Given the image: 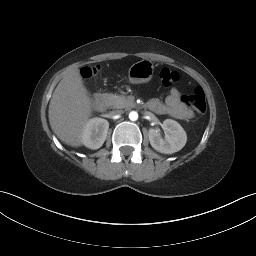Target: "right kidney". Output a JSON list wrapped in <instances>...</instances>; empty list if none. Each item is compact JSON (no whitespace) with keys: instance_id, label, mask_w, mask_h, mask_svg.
Here are the masks:
<instances>
[{"instance_id":"obj_1","label":"right kidney","mask_w":256,"mask_h":256,"mask_svg":"<svg viewBox=\"0 0 256 256\" xmlns=\"http://www.w3.org/2000/svg\"><path fill=\"white\" fill-rule=\"evenodd\" d=\"M109 122L103 118H92L87 121L82 133L83 144L90 149L100 148L106 140Z\"/></svg>"}]
</instances>
